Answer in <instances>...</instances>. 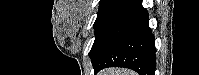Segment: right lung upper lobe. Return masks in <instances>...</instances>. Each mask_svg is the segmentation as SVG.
Wrapping results in <instances>:
<instances>
[{
	"instance_id": "cb5924a9",
	"label": "right lung upper lobe",
	"mask_w": 199,
	"mask_h": 75,
	"mask_svg": "<svg viewBox=\"0 0 199 75\" xmlns=\"http://www.w3.org/2000/svg\"><path fill=\"white\" fill-rule=\"evenodd\" d=\"M113 1H116V0H100V5L101 4H106V3H111ZM127 1H130V0H127Z\"/></svg>"
}]
</instances>
